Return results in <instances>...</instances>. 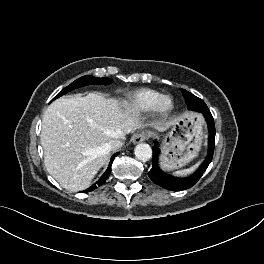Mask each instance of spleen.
<instances>
[{
  "label": "spleen",
  "mask_w": 264,
  "mask_h": 264,
  "mask_svg": "<svg viewBox=\"0 0 264 264\" xmlns=\"http://www.w3.org/2000/svg\"><path fill=\"white\" fill-rule=\"evenodd\" d=\"M199 165H200V162L196 163L191 168L176 171V172H174V175L175 176H187V175L193 173L198 168Z\"/></svg>",
  "instance_id": "spleen-1"
}]
</instances>
